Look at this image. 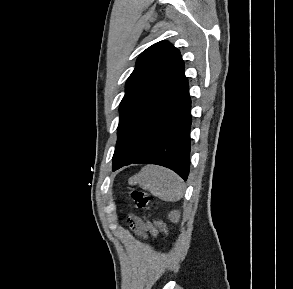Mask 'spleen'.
Returning <instances> with one entry per match:
<instances>
[{
	"label": "spleen",
	"mask_w": 293,
	"mask_h": 289,
	"mask_svg": "<svg viewBox=\"0 0 293 289\" xmlns=\"http://www.w3.org/2000/svg\"><path fill=\"white\" fill-rule=\"evenodd\" d=\"M130 185H140L155 197L175 202L184 195L182 179L173 171L160 166H146L129 179Z\"/></svg>",
	"instance_id": "3e777b00"
}]
</instances>
